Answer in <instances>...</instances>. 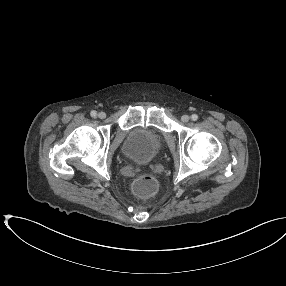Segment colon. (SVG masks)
Returning a JSON list of instances; mask_svg holds the SVG:
<instances>
[{
    "label": "colon",
    "instance_id": "colon-1",
    "mask_svg": "<svg viewBox=\"0 0 286 286\" xmlns=\"http://www.w3.org/2000/svg\"><path fill=\"white\" fill-rule=\"evenodd\" d=\"M157 188V180L151 175H142L133 184L134 192L141 197L152 196Z\"/></svg>",
    "mask_w": 286,
    "mask_h": 286
}]
</instances>
